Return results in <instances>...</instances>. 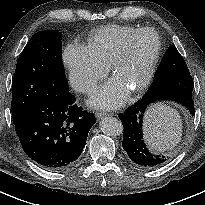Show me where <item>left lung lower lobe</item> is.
<instances>
[{
	"label": "left lung lower lobe",
	"instance_id": "1",
	"mask_svg": "<svg viewBox=\"0 0 205 205\" xmlns=\"http://www.w3.org/2000/svg\"><path fill=\"white\" fill-rule=\"evenodd\" d=\"M194 83L189 74H179L153 82L146 94L129 107L119 118L124 126L123 148L138 166L157 167L167 158L151 153L143 140V120L147 109L160 101H174L185 106L192 116L195 113L192 91Z\"/></svg>",
	"mask_w": 205,
	"mask_h": 205
}]
</instances>
